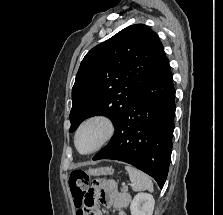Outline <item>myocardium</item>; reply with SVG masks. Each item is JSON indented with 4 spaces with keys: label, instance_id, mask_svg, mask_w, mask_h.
Masks as SVG:
<instances>
[{
    "label": "myocardium",
    "instance_id": "f54148a6",
    "mask_svg": "<svg viewBox=\"0 0 223 215\" xmlns=\"http://www.w3.org/2000/svg\"><path fill=\"white\" fill-rule=\"evenodd\" d=\"M92 125L98 126L101 129V131H102L101 138L92 149H90L88 151H81L77 145L79 133L85 127L92 126ZM114 133H115L114 122L108 116L103 115V114H96V115L90 116L87 119H85L84 121H82L78 125V127L75 131V134H74L75 148H76L77 152L81 155L94 154V153L98 152L99 150H101L104 146H106L110 142V140L114 136Z\"/></svg>",
    "mask_w": 223,
    "mask_h": 215
}]
</instances>
